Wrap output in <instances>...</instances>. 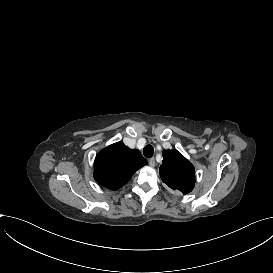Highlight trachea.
<instances>
[{"mask_svg":"<svg viewBox=\"0 0 273 273\" xmlns=\"http://www.w3.org/2000/svg\"><path fill=\"white\" fill-rule=\"evenodd\" d=\"M154 153V148L152 147V145H146L143 149V154L145 157L147 158H151L153 156Z\"/></svg>","mask_w":273,"mask_h":273,"instance_id":"obj_1","label":"trachea"}]
</instances>
